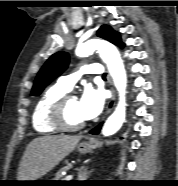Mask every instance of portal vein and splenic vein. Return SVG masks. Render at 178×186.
<instances>
[{
  "label": "portal vein and splenic vein",
  "instance_id": "1",
  "mask_svg": "<svg viewBox=\"0 0 178 186\" xmlns=\"http://www.w3.org/2000/svg\"><path fill=\"white\" fill-rule=\"evenodd\" d=\"M72 178H73V175H67V176L65 177V180H66V181H70Z\"/></svg>",
  "mask_w": 178,
  "mask_h": 186
}]
</instances>
